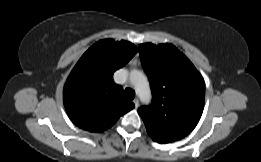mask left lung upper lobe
Listing matches in <instances>:
<instances>
[{
  "instance_id": "left-lung-upper-lobe-1",
  "label": "left lung upper lobe",
  "mask_w": 261,
  "mask_h": 162,
  "mask_svg": "<svg viewBox=\"0 0 261 162\" xmlns=\"http://www.w3.org/2000/svg\"><path fill=\"white\" fill-rule=\"evenodd\" d=\"M150 81L152 103L138 113L151 138L161 144L186 137L199 122L205 82L191 61L169 43L138 46Z\"/></svg>"
}]
</instances>
